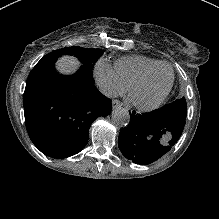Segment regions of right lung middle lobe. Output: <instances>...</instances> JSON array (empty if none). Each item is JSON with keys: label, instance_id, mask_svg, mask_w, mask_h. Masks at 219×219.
I'll list each match as a JSON object with an SVG mask.
<instances>
[{"label": "right lung middle lobe", "instance_id": "obj_1", "mask_svg": "<svg viewBox=\"0 0 219 219\" xmlns=\"http://www.w3.org/2000/svg\"><path fill=\"white\" fill-rule=\"evenodd\" d=\"M104 53L101 49H91L82 47H68L60 50H55L45 55L41 60L49 58H57L61 55H74L81 60V62L89 67L93 68V64L99 59Z\"/></svg>", "mask_w": 219, "mask_h": 219}]
</instances>
